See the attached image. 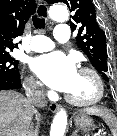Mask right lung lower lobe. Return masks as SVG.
Segmentation results:
<instances>
[{
  "label": "right lung lower lobe",
  "mask_w": 117,
  "mask_h": 136,
  "mask_svg": "<svg viewBox=\"0 0 117 136\" xmlns=\"http://www.w3.org/2000/svg\"><path fill=\"white\" fill-rule=\"evenodd\" d=\"M20 75H0V90L21 88Z\"/></svg>",
  "instance_id": "98d812e1"
}]
</instances>
